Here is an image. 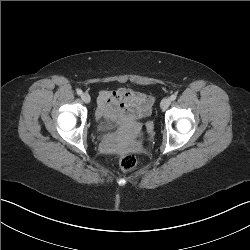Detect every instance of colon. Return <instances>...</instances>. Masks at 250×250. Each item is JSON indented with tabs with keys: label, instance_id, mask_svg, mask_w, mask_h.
<instances>
[{
	"label": "colon",
	"instance_id": "colon-1",
	"mask_svg": "<svg viewBox=\"0 0 250 250\" xmlns=\"http://www.w3.org/2000/svg\"><path fill=\"white\" fill-rule=\"evenodd\" d=\"M115 155L122 171L127 172L135 168L137 163L135 156L121 152H116Z\"/></svg>",
	"mask_w": 250,
	"mask_h": 250
}]
</instances>
